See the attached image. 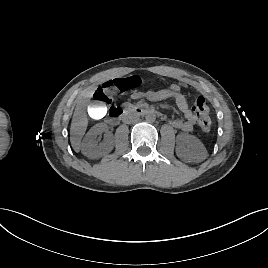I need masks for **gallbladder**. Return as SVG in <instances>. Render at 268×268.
<instances>
[{
    "label": "gallbladder",
    "mask_w": 268,
    "mask_h": 268,
    "mask_svg": "<svg viewBox=\"0 0 268 268\" xmlns=\"http://www.w3.org/2000/svg\"><path fill=\"white\" fill-rule=\"evenodd\" d=\"M88 112L92 118L98 119L104 115L105 109L100 102H93L89 106Z\"/></svg>",
    "instance_id": "bac80fb5"
}]
</instances>
